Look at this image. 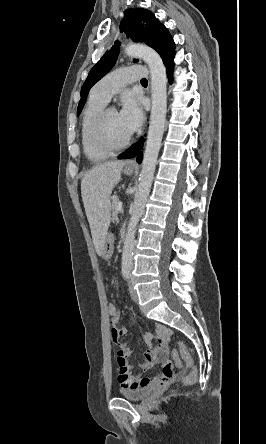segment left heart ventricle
<instances>
[{
	"label": "left heart ventricle",
	"instance_id": "b2bd125f",
	"mask_svg": "<svg viewBox=\"0 0 266 444\" xmlns=\"http://www.w3.org/2000/svg\"><path fill=\"white\" fill-rule=\"evenodd\" d=\"M102 135L113 145L121 144L130 134L122 124L116 110H111L105 119Z\"/></svg>",
	"mask_w": 266,
	"mask_h": 444
}]
</instances>
